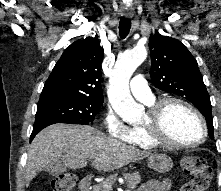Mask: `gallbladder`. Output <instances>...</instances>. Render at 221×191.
<instances>
[{
  "mask_svg": "<svg viewBox=\"0 0 221 191\" xmlns=\"http://www.w3.org/2000/svg\"><path fill=\"white\" fill-rule=\"evenodd\" d=\"M44 170L51 175H57L66 171V166L63 162H49L45 167Z\"/></svg>",
  "mask_w": 221,
  "mask_h": 191,
  "instance_id": "bac80fb5",
  "label": "gallbladder"
}]
</instances>
